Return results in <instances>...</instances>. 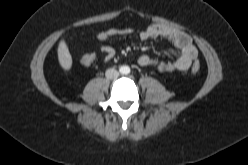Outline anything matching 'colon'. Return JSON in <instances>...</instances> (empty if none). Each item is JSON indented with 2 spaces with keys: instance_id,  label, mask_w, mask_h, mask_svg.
<instances>
[{
  "instance_id": "1",
  "label": "colon",
  "mask_w": 248,
  "mask_h": 165,
  "mask_svg": "<svg viewBox=\"0 0 248 165\" xmlns=\"http://www.w3.org/2000/svg\"><path fill=\"white\" fill-rule=\"evenodd\" d=\"M94 61V56L92 54H85L81 57V63L83 65H90ZM200 70V64L198 62H195L192 65L191 71L193 73H197Z\"/></svg>"
}]
</instances>
